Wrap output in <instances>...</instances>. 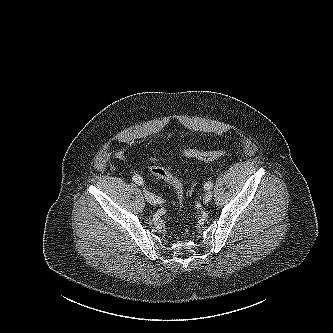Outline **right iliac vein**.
I'll return each instance as SVG.
<instances>
[{
  "mask_svg": "<svg viewBox=\"0 0 333 333\" xmlns=\"http://www.w3.org/2000/svg\"><path fill=\"white\" fill-rule=\"evenodd\" d=\"M143 194H144V197L145 199L152 205H155L157 204V200H156V197L151 194L148 190H146L145 188L143 189Z\"/></svg>",
  "mask_w": 333,
  "mask_h": 333,
  "instance_id": "1",
  "label": "right iliac vein"
}]
</instances>
